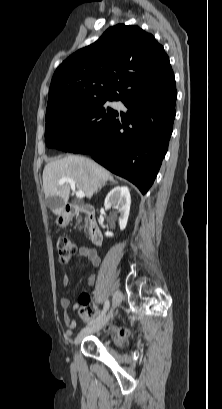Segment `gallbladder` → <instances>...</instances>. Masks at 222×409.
Wrapping results in <instances>:
<instances>
[{"mask_svg": "<svg viewBox=\"0 0 222 409\" xmlns=\"http://www.w3.org/2000/svg\"><path fill=\"white\" fill-rule=\"evenodd\" d=\"M53 199H54V198H52V197H49V198L47 199V204H48L49 207H52V205H53Z\"/></svg>", "mask_w": 222, "mask_h": 409, "instance_id": "obj_1", "label": "gallbladder"}]
</instances>
